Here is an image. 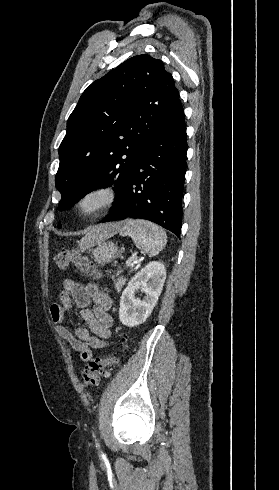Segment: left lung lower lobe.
I'll use <instances>...</instances> for the list:
<instances>
[{
	"label": "left lung lower lobe",
	"instance_id": "1",
	"mask_svg": "<svg viewBox=\"0 0 279 490\" xmlns=\"http://www.w3.org/2000/svg\"><path fill=\"white\" fill-rule=\"evenodd\" d=\"M186 153L180 102L146 140L116 206L102 222L146 219L180 238Z\"/></svg>",
	"mask_w": 279,
	"mask_h": 490
}]
</instances>
